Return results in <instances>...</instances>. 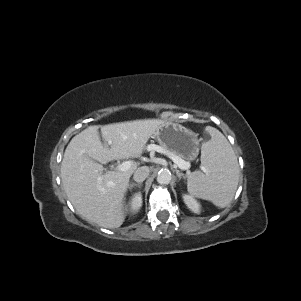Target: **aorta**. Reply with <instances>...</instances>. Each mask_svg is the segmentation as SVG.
Masks as SVG:
<instances>
[{"label":"aorta","mask_w":301,"mask_h":301,"mask_svg":"<svg viewBox=\"0 0 301 301\" xmlns=\"http://www.w3.org/2000/svg\"><path fill=\"white\" fill-rule=\"evenodd\" d=\"M172 179L171 172L168 169H162L157 175V182L159 184H168Z\"/></svg>","instance_id":"762f6f07"}]
</instances>
